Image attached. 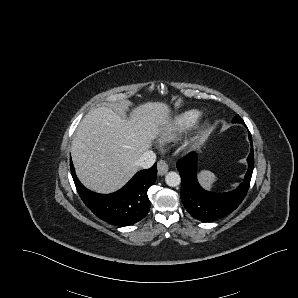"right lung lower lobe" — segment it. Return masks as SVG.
Wrapping results in <instances>:
<instances>
[{
    "label": "right lung lower lobe",
    "instance_id": "98d812e1",
    "mask_svg": "<svg viewBox=\"0 0 298 298\" xmlns=\"http://www.w3.org/2000/svg\"><path fill=\"white\" fill-rule=\"evenodd\" d=\"M71 174L85 205L100 219L116 225L129 226L143 219L150 210L147 191L157 179V165L141 170L119 191L102 195L86 189L76 177L71 162Z\"/></svg>",
    "mask_w": 298,
    "mask_h": 298
}]
</instances>
